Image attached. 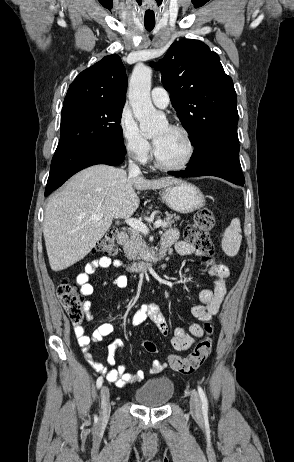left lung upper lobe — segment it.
<instances>
[{
	"label": "left lung upper lobe",
	"instance_id": "1",
	"mask_svg": "<svg viewBox=\"0 0 294 462\" xmlns=\"http://www.w3.org/2000/svg\"><path fill=\"white\" fill-rule=\"evenodd\" d=\"M161 81L193 146L209 139L220 127L238 122L237 97L219 56L199 40L171 45L158 63Z\"/></svg>",
	"mask_w": 294,
	"mask_h": 462
}]
</instances>
